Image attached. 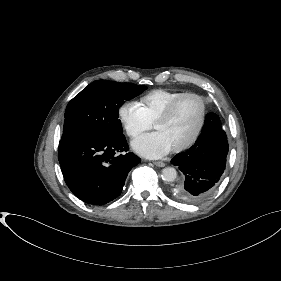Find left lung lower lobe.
I'll use <instances>...</instances> for the list:
<instances>
[{"label": "left lung lower lobe", "mask_w": 281, "mask_h": 281, "mask_svg": "<svg viewBox=\"0 0 281 281\" xmlns=\"http://www.w3.org/2000/svg\"><path fill=\"white\" fill-rule=\"evenodd\" d=\"M228 147L220 121L212 119L209 113L195 144L172 160L183 173L175 189L176 196L187 203H199L209 198L225 170Z\"/></svg>", "instance_id": "1"}]
</instances>
